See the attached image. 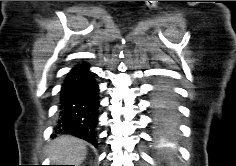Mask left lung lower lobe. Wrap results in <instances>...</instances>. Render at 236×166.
<instances>
[{
	"instance_id": "1",
	"label": "left lung lower lobe",
	"mask_w": 236,
	"mask_h": 166,
	"mask_svg": "<svg viewBox=\"0 0 236 166\" xmlns=\"http://www.w3.org/2000/svg\"><path fill=\"white\" fill-rule=\"evenodd\" d=\"M153 124L160 141L169 140L175 132L176 104L170 86L160 85L154 92Z\"/></svg>"
}]
</instances>
